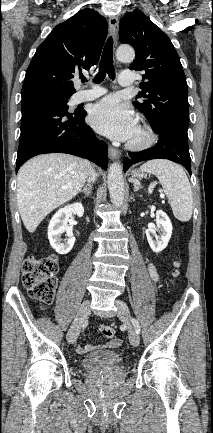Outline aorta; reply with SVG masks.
I'll list each match as a JSON object with an SVG mask.
<instances>
[{"label":"aorta","instance_id":"1","mask_svg":"<svg viewBox=\"0 0 213 433\" xmlns=\"http://www.w3.org/2000/svg\"><path fill=\"white\" fill-rule=\"evenodd\" d=\"M135 51L130 46H120L116 51V58L121 62H128L134 59ZM108 189L111 202L114 206L120 207L124 202L125 184L122 167L119 163H113L108 171Z\"/></svg>","mask_w":213,"mask_h":433}]
</instances>
